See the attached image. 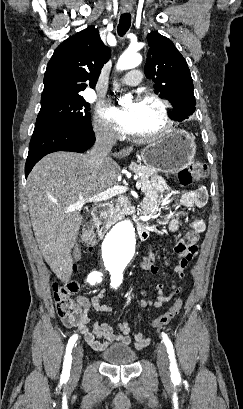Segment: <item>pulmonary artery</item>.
<instances>
[{
	"mask_svg": "<svg viewBox=\"0 0 243 409\" xmlns=\"http://www.w3.org/2000/svg\"><path fill=\"white\" fill-rule=\"evenodd\" d=\"M141 80V72L139 70L129 71L121 80L122 85L135 86Z\"/></svg>",
	"mask_w": 243,
	"mask_h": 409,
	"instance_id": "e3ab8cb5",
	"label": "pulmonary artery"
}]
</instances>
